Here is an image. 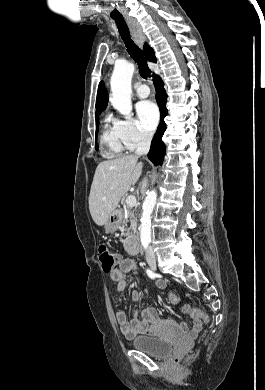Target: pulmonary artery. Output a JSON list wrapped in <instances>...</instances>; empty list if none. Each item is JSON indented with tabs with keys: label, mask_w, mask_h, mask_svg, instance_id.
<instances>
[{
	"label": "pulmonary artery",
	"mask_w": 265,
	"mask_h": 390,
	"mask_svg": "<svg viewBox=\"0 0 265 390\" xmlns=\"http://www.w3.org/2000/svg\"><path fill=\"white\" fill-rule=\"evenodd\" d=\"M135 93H136L137 97H139V98H146V97H148V95L150 93V89L148 88L147 85L141 84V85L136 87Z\"/></svg>",
	"instance_id": "e3ab8cb5"
}]
</instances>
